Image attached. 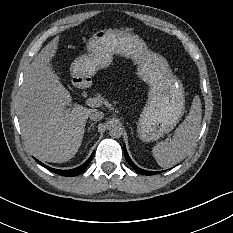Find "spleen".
I'll use <instances>...</instances> for the list:
<instances>
[{"label": "spleen", "instance_id": "spleen-1", "mask_svg": "<svg viewBox=\"0 0 233 233\" xmlns=\"http://www.w3.org/2000/svg\"><path fill=\"white\" fill-rule=\"evenodd\" d=\"M201 107V100L196 95L189 114L175 130L173 139L159 142L154 146L152 153L161 167H171L177 164L194 148L200 133Z\"/></svg>", "mask_w": 233, "mask_h": 233}]
</instances>
